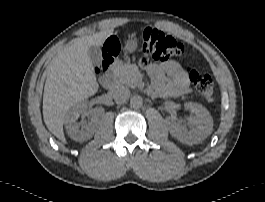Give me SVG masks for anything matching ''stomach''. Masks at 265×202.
Here are the masks:
<instances>
[{
  "label": "stomach",
  "mask_w": 265,
  "mask_h": 202,
  "mask_svg": "<svg viewBox=\"0 0 265 202\" xmlns=\"http://www.w3.org/2000/svg\"><path fill=\"white\" fill-rule=\"evenodd\" d=\"M138 47V42L136 38H129L125 43V51L128 53L134 52Z\"/></svg>",
  "instance_id": "stomach-1"
}]
</instances>
